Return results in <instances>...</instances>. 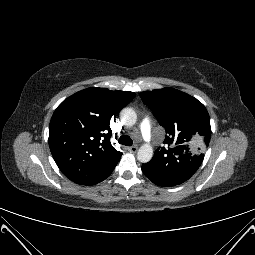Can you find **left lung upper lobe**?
Returning <instances> with one entry per match:
<instances>
[{"label":"left lung upper lobe","mask_w":255,"mask_h":255,"mask_svg":"<svg viewBox=\"0 0 255 255\" xmlns=\"http://www.w3.org/2000/svg\"><path fill=\"white\" fill-rule=\"evenodd\" d=\"M166 130L164 144L143 169L150 175L179 185L200 167L211 136L210 118L196 98L173 88L140 94Z\"/></svg>","instance_id":"1"}]
</instances>
